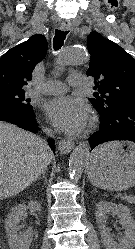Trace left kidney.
Returning a JSON list of instances; mask_svg holds the SVG:
<instances>
[{"label": "left kidney", "instance_id": "1", "mask_svg": "<svg viewBox=\"0 0 135 249\" xmlns=\"http://www.w3.org/2000/svg\"><path fill=\"white\" fill-rule=\"evenodd\" d=\"M108 213L117 215L124 229L125 236L119 243L115 242L106 230L105 224L108 219ZM95 216L99 224L102 242L106 249H133L135 247V222L127 206L100 201L96 204Z\"/></svg>", "mask_w": 135, "mask_h": 249}]
</instances>
